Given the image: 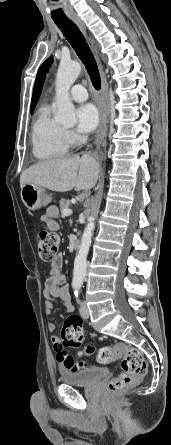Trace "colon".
<instances>
[{"label": "colon", "mask_w": 171, "mask_h": 445, "mask_svg": "<svg viewBox=\"0 0 171 445\" xmlns=\"http://www.w3.org/2000/svg\"><path fill=\"white\" fill-rule=\"evenodd\" d=\"M35 237L40 258L46 262L53 261L59 249L57 234L39 229ZM82 325L83 320L78 315H70L66 318L61 331V340L65 346L80 347L83 344ZM93 353V347L85 348L87 356ZM96 359L102 364L121 360L122 372L108 383L107 390L110 394H119L132 388L145 376L147 371V364L141 352L123 343H115L101 348L96 354Z\"/></svg>", "instance_id": "1"}]
</instances>
